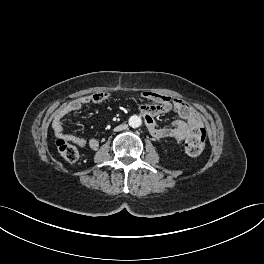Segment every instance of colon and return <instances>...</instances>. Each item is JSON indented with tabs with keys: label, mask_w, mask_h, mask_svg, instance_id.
<instances>
[{
	"label": "colon",
	"mask_w": 264,
	"mask_h": 264,
	"mask_svg": "<svg viewBox=\"0 0 264 264\" xmlns=\"http://www.w3.org/2000/svg\"><path fill=\"white\" fill-rule=\"evenodd\" d=\"M206 133L203 128L195 130L185 141V150L191 156H198L205 147ZM60 155L68 162H76L80 157L78 148L69 143L64 138H59L56 142Z\"/></svg>",
	"instance_id": "1"
}]
</instances>
